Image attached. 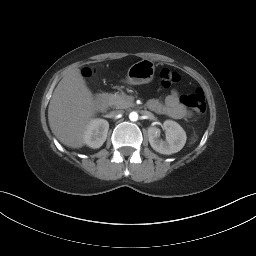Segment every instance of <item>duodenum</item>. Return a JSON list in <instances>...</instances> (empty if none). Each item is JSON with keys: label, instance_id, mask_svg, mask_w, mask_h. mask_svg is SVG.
Listing matches in <instances>:
<instances>
[{"label": "duodenum", "instance_id": "duodenum-1", "mask_svg": "<svg viewBox=\"0 0 256 256\" xmlns=\"http://www.w3.org/2000/svg\"><path fill=\"white\" fill-rule=\"evenodd\" d=\"M95 106L98 109H103L107 106L108 103V97L104 93L97 94L94 99Z\"/></svg>", "mask_w": 256, "mask_h": 256}]
</instances>
